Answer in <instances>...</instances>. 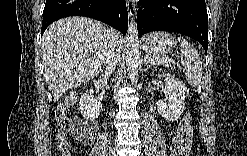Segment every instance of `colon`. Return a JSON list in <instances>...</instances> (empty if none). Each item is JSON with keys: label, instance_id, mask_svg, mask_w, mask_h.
Segmentation results:
<instances>
[{"label": "colon", "instance_id": "obj_1", "mask_svg": "<svg viewBox=\"0 0 247 156\" xmlns=\"http://www.w3.org/2000/svg\"><path fill=\"white\" fill-rule=\"evenodd\" d=\"M76 93H72L67 97L66 101L61 103L55 111V121H56V146L57 150L61 155H69L70 142L67 135V126L69 124V118L66 114L67 105L69 102L76 98ZM191 114L188 112L183 120L180 122L176 135L181 137L186 134L190 128ZM187 149L182 144L176 145L175 154L184 156L186 155Z\"/></svg>", "mask_w": 247, "mask_h": 156}]
</instances>
